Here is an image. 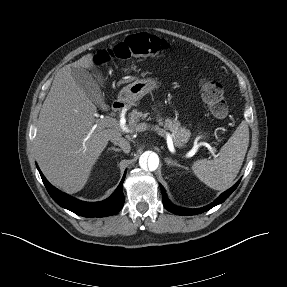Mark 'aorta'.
<instances>
[{"label": "aorta", "mask_w": 287, "mask_h": 287, "mask_svg": "<svg viewBox=\"0 0 287 287\" xmlns=\"http://www.w3.org/2000/svg\"><path fill=\"white\" fill-rule=\"evenodd\" d=\"M139 164L141 168L155 171L159 165V157L154 152H146L140 156Z\"/></svg>", "instance_id": "obj_1"}]
</instances>
